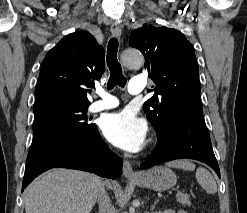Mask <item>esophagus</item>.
Here are the masks:
<instances>
[{"label":"esophagus","instance_id":"esophagus-1","mask_svg":"<svg viewBox=\"0 0 247 213\" xmlns=\"http://www.w3.org/2000/svg\"><path fill=\"white\" fill-rule=\"evenodd\" d=\"M111 33L113 36L120 38L121 36V27L118 24L111 25ZM123 174L126 178H137L138 174L133 171V168L129 161H123Z\"/></svg>","mask_w":247,"mask_h":213}]
</instances>
